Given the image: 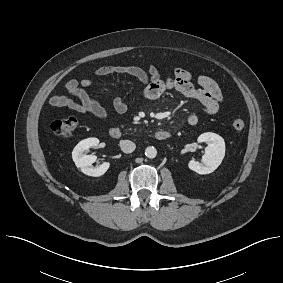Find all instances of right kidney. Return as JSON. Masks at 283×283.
Listing matches in <instances>:
<instances>
[{
  "mask_svg": "<svg viewBox=\"0 0 283 283\" xmlns=\"http://www.w3.org/2000/svg\"><path fill=\"white\" fill-rule=\"evenodd\" d=\"M98 144L99 139L97 138L84 139L80 141L72 151V159L76 167L79 168L82 173L92 177L102 176L110 167L109 162H104L98 167L92 166V163L96 161L97 157L95 155H87L86 152L89 148L98 146Z\"/></svg>",
  "mask_w": 283,
  "mask_h": 283,
  "instance_id": "right-kidney-1",
  "label": "right kidney"
}]
</instances>
